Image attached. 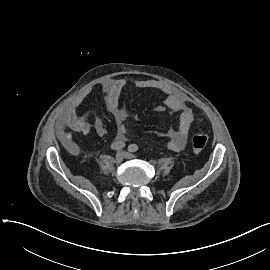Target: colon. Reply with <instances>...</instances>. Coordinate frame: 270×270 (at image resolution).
Segmentation results:
<instances>
[{"label": "colon", "instance_id": "1", "mask_svg": "<svg viewBox=\"0 0 270 270\" xmlns=\"http://www.w3.org/2000/svg\"><path fill=\"white\" fill-rule=\"evenodd\" d=\"M208 142V137L203 132H196L192 137V148L195 152L202 151Z\"/></svg>", "mask_w": 270, "mask_h": 270}]
</instances>
